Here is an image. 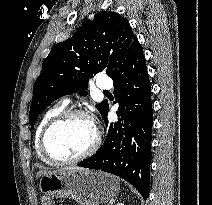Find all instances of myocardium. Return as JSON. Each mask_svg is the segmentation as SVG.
<instances>
[{
    "mask_svg": "<svg viewBox=\"0 0 212 205\" xmlns=\"http://www.w3.org/2000/svg\"><path fill=\"white\" fill-rule=\"evenodd\" d=\"M74 117H82L85 118L87 120H89L90 122H92V120L90 119V117L88 116V114L82 110H77V109H73V110H64L63 112L59 113L58 115H56L55 117H53L44 127L42 133H41V137H40V148L42 153L44 154V156L49 159L51 162L55 163V164H61V165H66V164H73V163H77L79 161H82L88 157H90L92 154H94L96 152V150L98 149V147L100 146L101 143V134L99 132V130L94 127L95 129V137L93 139V142L91 143V145L80 155L75 156L73 158H60L58 156H56L52 150L49 147V143H48V139L50 136V133L53 131L54 128H56L58 125L62 124L63 122L74 118Z\"/></svg>",
    "mask_w": 212,
    "mask_h": 205,
    "instance_id": "1",
    "label": "myocardium"
}]
</instances>
